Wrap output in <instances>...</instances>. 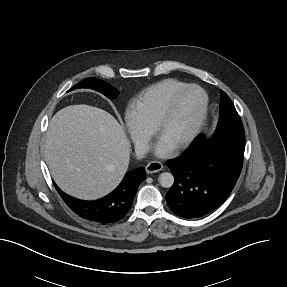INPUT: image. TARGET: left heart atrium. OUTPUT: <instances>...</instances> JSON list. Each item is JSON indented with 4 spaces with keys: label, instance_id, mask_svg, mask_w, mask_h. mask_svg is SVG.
Segmentation results:
<instances>
[{
    "label": "left heart atrium",
    "instance_id": "left-heart-atrium-1",
    "mask_svg": "<svg viewBox=\"0 0 287 287\" xmlns=\"http://www.w3.org/2000/svg\"><path fill=\"white\" fill-rule=\"evenodd\" d=\"M170 147L166 146L163 143H159L155 149V153L159 156H165L169 153Z\"/></svg>",
    "mask_w": 287,
    "mask_h": 287
}]
</instances>
